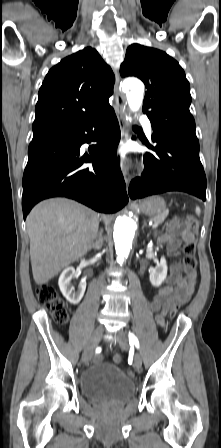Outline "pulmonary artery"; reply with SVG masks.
I'll use <instances>...</instances> for the list:
<instances>
[{
	"instance_id": "obj_1",
	"label": "pulmonary artery",
	"mask_w": 221,
	"mask_h": 448,
	"mask_svg": "<svg viewBox=\"0 0 221 448\" xmlns=\"http://www.w3.org/2000/svg\"><path fill=\"white\" fill-rule=\"evenodd\" d=\"M140 120L144 124L145 131H146L147 135L150 137L152 134V127H151L150 120L146 117H141Z\"/></svg>"
}]
</instances>
